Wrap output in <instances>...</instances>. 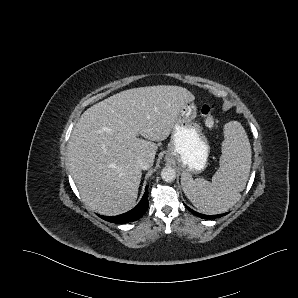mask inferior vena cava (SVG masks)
<instances>
[{"instance_id": "602c4592", "label": "inferior vena cava", "mask_w": 298, "mask_h": 298, "mask_svg": "<svg viewBox=\"0 0 298 298\" xmlns=\"http://www.w3.org/2000/svg\"><path fill=\"white\" fill-rule=\"evenodd\" d=\"M136 165L142 170H148L152 166V164H150L145 158H139L136 162Z\"/></svg>"}]
</instances>
